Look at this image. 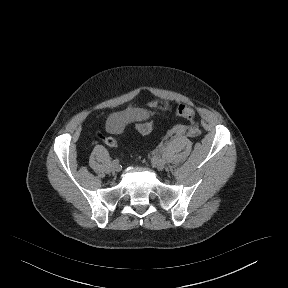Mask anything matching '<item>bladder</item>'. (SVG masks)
I'll list each match as a JSON object with an SVG mask.
<instances>
[{
	"label": "bladder",
	"mask_w": 288,
	"mask_h": 288,
	"mask_svg": "<svg viewBox=\"0 0 288 288\" xmlns=\"http://www.w3.org/2000/svg\"><path fill=\"white\" fill-rule=\"evenodd\" d=\"M147 114L148 113L145 110L130 109V110H127V111L115 116V117H112L109 122L113 127L121 126L126 121L144 118Z\"/></svg>",
	"instance_id": "bladder-1"
}]
</instances>
